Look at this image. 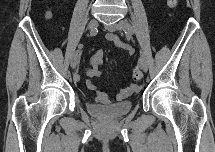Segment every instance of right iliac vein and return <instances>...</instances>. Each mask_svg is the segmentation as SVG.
I'll list each match as a JSON object with an SVG mask.
<instances>
[{"instance_id":"obj_1","label":"right iliac vein","mask_w":215,"mask_h":152,"mask_svg":"<svg viewBox=\"0 0 215 152\" xmlns=\"http://www.w3.org/2000/svg\"><path fill=\"white\" fill-rule=\"evenodd\" d=\"M97 26H98V21L96 19H92L88 23V29L91 30V31L96 29ZM79 59H80L79 53L78 52L74 53V55H73V57L71 59V68L72 69L76 68V66L79 63Z\"/></svg>"}]
</instances>
